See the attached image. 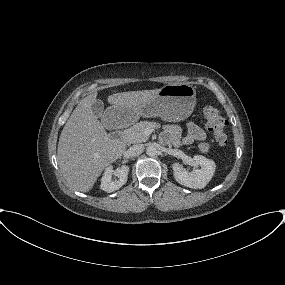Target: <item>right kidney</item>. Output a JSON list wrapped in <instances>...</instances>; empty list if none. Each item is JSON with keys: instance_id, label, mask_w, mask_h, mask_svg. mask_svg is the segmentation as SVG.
<instances>
[{"instance_id": "right-kidney-1", "label": "right kidney", "mask_w": 285, "mask_h": 285, "mask_svg": "<svg viewBox=\"0 0 285 285\" xmlns=\"http://www.w3.org/2000/svg\"><path fill=\"white\" fill-rule=\"evenodd\" d=\"M128 173L129 167L126 165L117 168L115 171L111 166L107 167L101 178V189L107 193L120 189L127 182ZM113 174L118 177V180L112 181Z\"/></svg>"}]
</instances>
